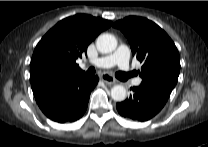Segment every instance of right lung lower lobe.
Returning <instances> with one entry per match:
<instances>
[{
    "mask_svg": "<svg viewBox=\"0 0 208 147\" xmlns=\"http://www.w3.org/2000/svg\"><path fill=\"white\" fill-rule=\"evenodd\" d=\"M98 80V76L90 77L82 74L63 86L34 96L38 106L48 118L59 123L73 122L85 113L90 93Z\"/></svg>",
    "mask_w": 208,
    "mask_h": 147,
    "instance_id": "1",
    "label": "right lung lower lobe"
}]
</instances>
